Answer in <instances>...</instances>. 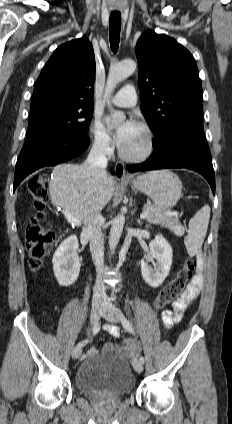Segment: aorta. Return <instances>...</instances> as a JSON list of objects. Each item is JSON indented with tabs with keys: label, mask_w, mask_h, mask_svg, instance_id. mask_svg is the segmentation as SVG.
<instances>
[{
	"label": "aorta",
	"mask_w": 232,
	"mask_h": 424,
	"mask_svg": "<svg viewBox=\"0 0 232 424\" xmlns=\"http://www.w3.org/2000/svg\"><path fill=\"white\" fill-rule=\"evenodd\" d=\"M136 67L137 65L135 61L131 59L124 60L110 67L104 94V99L108 102V107L112 115L111 120L106 122L107 126L110 128L122 123L126 118L123 112L114 110L110 105L109 99L111 94L118 83L125 80L135 72ZM124 223L125 215L123 212L119 213L112 221L109 234V247L111 251L115 250L119 242Z\"/></svg>",
	"instance_id": "1"
}]
</instances>
